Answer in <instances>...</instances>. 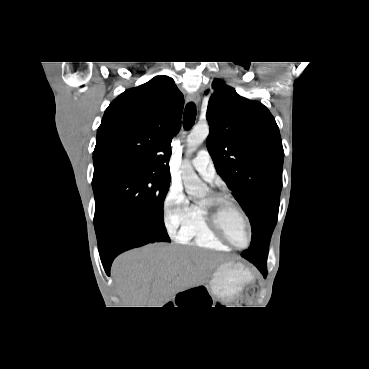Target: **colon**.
Wrapping results in <instances>:
<instances>
[{
	"label": "colon",
	"instance_id": "colon-1",
	"mask_svg": "<svg viewBox=\"0 0 369 369\" xmlns=\"http://www.w3.org/2000/svg\"><path fill=\"white\" fill-rule=\"evenodd\" d=\"M254 292L253 291H248L245 295L241 296L235 306L237 307H243V306H248L253 298Z\"/></svg>",
	"mask_w": 369,
	"mask_h": 369
}]
</instances>
